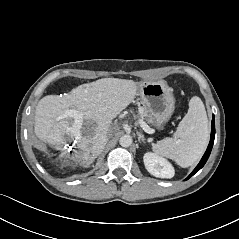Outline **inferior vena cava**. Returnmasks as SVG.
I'll return each mask as SVG.
<instances>
[{
    "instance_id": "602c4592",
    "label": "inferior vena cava",
    "mask_w": 239,
    "mask_h": 239,
    "mask_svg": "<svg viewBox=\"0 0 239 239\" xmlns=\"http://www.w3.org/2000/svg\"><path fill=\"white\" fill-rule=\"evenodd\" d=\"M108 142V137L106 135H101L96 139L94 149L98 152L101 153V151L104 149Z\"/></svg>"
}]
</instances>
